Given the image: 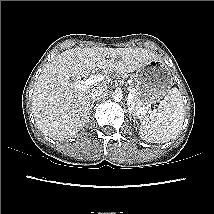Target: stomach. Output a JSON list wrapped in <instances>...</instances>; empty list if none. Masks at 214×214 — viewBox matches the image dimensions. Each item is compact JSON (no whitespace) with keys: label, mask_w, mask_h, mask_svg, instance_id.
I'll return each instance as SVG.
<instances>
[{"label":"stomach","mask_w":214,"mask_h":214,"mask_svg":"<svg viewBox=\"0 0 214 214\" xmlns=\"http://www.w3.org/2000/svg\"><path fill=\"white\" fill-rule=\"evenodd\" d=\"M135 102L149 106L164 98L174 84L170 68L161 59H153L137 70Z\"/></svg>","instance_id":"1"}]
</instances>
